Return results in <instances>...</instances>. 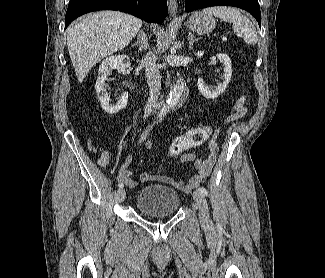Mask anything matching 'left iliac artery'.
<instances>
[{
    "mask_svg": "<svg viewBox=\"0 0 325 278\" xmlns=\"http://www.w3.org/2000/svg\"><path fill=\"white\" fill-rule=\"evenodd\" d=\"M198 191L200 192V193H202L203 195H208V192H207V190L204 188V187H199L198 188Z\"/></svg>",
    "mask_w": 325,
    "mask_h": 278,
    "instance_id": "obj_1",
    "label": "left iliac artery"
}]
</instances>
